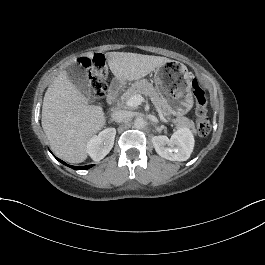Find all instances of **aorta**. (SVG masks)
<instances>
[{
  "label": "aorta",
  "mask_w": 265,
  "mask_h": 265,
  "mask_svg": "<svg viewBox=\"0 0 265 265\" xmlns=\"http://www.w3.org/2000/svg\"><path fill=\"white\" fill-rule=\"evenodd\" d=\"M134 126L136 128H143L145 126V120L142 117H137L134 120Z\"/></svg>",
  "instance_id": "aorta-1"
}]
</instances>
